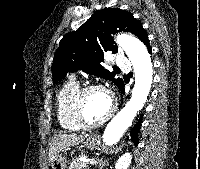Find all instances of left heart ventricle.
<instances>
[{
  "mask_svg": "<svg viewBox=\"0 0 200 169\" xmlns=\"http://www.w3.org/2000/svg\"><path fill=\"white\" fill-rule=\"evenodd\" d=\"M109 97L101 91L89 93L83 105L84 118L88 123H96L101 120L110 109Z\"/></svg>",
  "mask_w": 200,
  "mask_h": 169,
  "instance_id": "obj_1",
  "label": "left heart ventricle"
}]
</instances>
